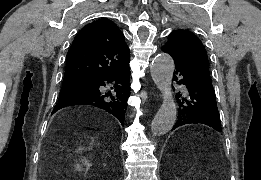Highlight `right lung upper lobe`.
<instances>
[{
	"label": "right lung upper lobe",
	"mask_w": 261,
	"mask_h": 180,
	"mask_svg": "<svg viewBox=\"0 0 261 180\" xmlns=\"http://www.w3.org/2000/svg\"><path fill=\"white\" fill-rule=\"evenodd\" d=\"M130 51L124 35L108 19L85 25L75 37L66 58L63 81H95L128 66Z\"/></svg>",
	"instance_id": "cb5924a9"
}]
</instances>
